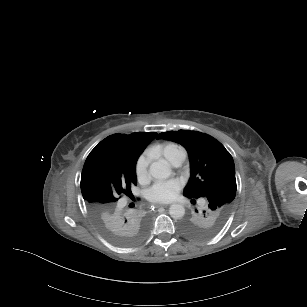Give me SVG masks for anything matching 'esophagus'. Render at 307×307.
<instances>
[{
  "instance_id": "esophagus-1",
  "label": "esophagus",
  "mask_w": 307,
  "mask_h": 307,
  "mask_svg": "<svg viewBox=\"0 0 307 307\" xmlns=\"http://www.w3.org/2000/svg\"><path fill=\"white\" fill-rule=\"evenodd\" d=\"M152 206H154L155 208L163 207V205H161V204H156V203L152 204Z\"/></svg>"
}]
</instances>
